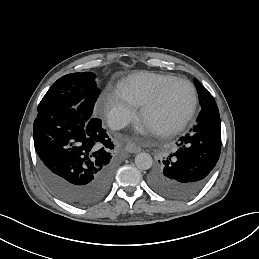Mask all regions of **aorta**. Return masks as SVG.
I'll return each instance as SVG.
<instances>
[{"mask_svg": "<svg viewBox=\"0 0 259 259\" xmlns=\"http://www.w3.org/2000/svg\"><path fill=\"white\" fill-rule=\"evenodd\" d=\"M153 159L150 154L142 152L135 157V165L140 170H148L152 167Z\"/></svg>", "mask_w": 259, "mask_h": 259, "instance_id": "1", "label": "aorta"}]
</instances>
